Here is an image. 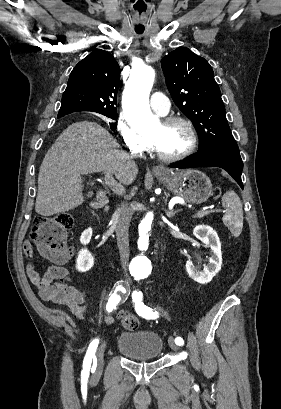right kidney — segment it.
Here are the masks:
<instances>
[{"instance_id": "right-kidney-1", "label": "right kidney", "mask_w": 281, "mask_h": 409, "mask_svg": "<svg viewBox=\"0 0 281 409\" xmlns=\"http://www.w3.org/2000/svg\"><path fill=\"white\" fill-rule=\"evenodd\" d=\"M92 237V229H85L80 237V243L82 245H88L90 243ZM94 265V257H92V253L87 251V249H81L78 253L77 261H76V269L77 271H81V273H85V271H89L91 267Z\"/></svg>"}]
</instances>
